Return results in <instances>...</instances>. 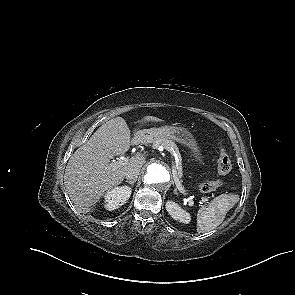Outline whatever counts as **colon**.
<instances>
[{
	"mask_svg": "<svg viewBox=\"0 0 295 295\" xmlns=\"http://www.w3.org/2000/svg\"><path fill=\"white\" fill-rule=\"evenodd\" d=\"M232 168L231 159L224 148H221L217 159V173L219 176L227 175ZM221 185V179H213L203 182L200 190L203 193H211L218 189Z\"/></svg>",
	"mask_w": 295,
	"mask_h": 295,
	"instance_id": "1",
	"label": "colon"
}]
</instances>
